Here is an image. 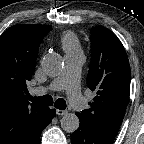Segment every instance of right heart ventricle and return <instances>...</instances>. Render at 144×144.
<instances>
[{"label": "right heart ventricle", "mask_w": 144, "mask_h": 144, "mask_svg": "<svg viewBox=\"0 0 144 144\" xmlns=\"http://www.w3.org/2000/svg\"><path fill=\"white\" fill-rule=\"evenodd\" d=\"M61 46L66 54L81 52L80 42L73 32H66L62 35Z\"/></svg>", "instance_id": "e07e8e85"}]
</instances>
